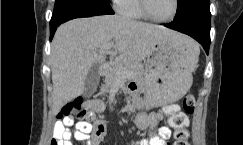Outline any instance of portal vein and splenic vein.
<instances>
[{
  "label": "portal vein and splenic vein",
  "mask_w": 243,
  "mask_h": 145,
  "mask_svg": "<svg viewBox=\"0 0 243 145\" xmlns=\"http://www.w3.org/2000/svg\"><path fill=\"white\" fill-rule=\"evenodd\" d=\"M112 47H113V42L107 43L106 45H104V46L102 47V51H103V52H104V51H107V50L111 49Z\"/></svg>",
  "instance_id": "portal-vein-and-splenic-vein-1"
}]
</instances>
